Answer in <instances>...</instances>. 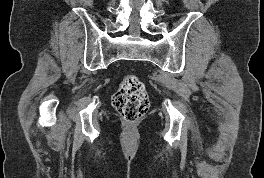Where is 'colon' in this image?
Masks as SVG:
<instances>
[{"label": "colon", "mask_w": 264, "mask_h": 178, "mask_svg": "<svg viewBox=\"0 0 264 178\" xmlns=\"http://www.w3.org/2000/svg\"><path fill=\"white\" fill-rule=\"evenodd\" d=\"M112 104L127 122H136L149 109V97L144 84L135 75H127L114 94Z\"/></svg>", "instance_id": "obj_1"}]
</instances>
